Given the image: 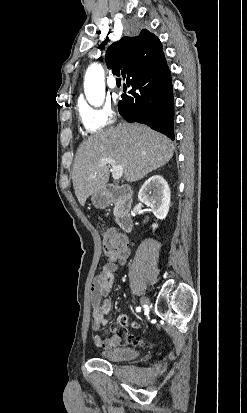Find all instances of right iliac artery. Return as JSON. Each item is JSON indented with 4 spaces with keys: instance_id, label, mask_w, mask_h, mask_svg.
<instances>
[{
    "instance_id": "82829eb1",
    "label": "right iliac artery",
    "mask_w": 247,
    "mask_h": 413,
    "mask_svg": "<svg viewBox=\"0 0 247 413\" xmlns=\"http://www.w3.org/2000/svg\"><path fill=\"white\" fill-rule=\"evenodd\" d=\"M136 310L139 312V311L141 310V308H140V307H137Z\"/></svg>"
}]
</instances>
